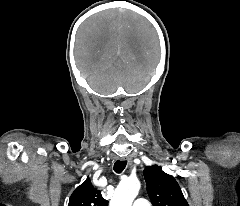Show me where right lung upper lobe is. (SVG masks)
<instances>
[{
    "instance_id": "obj_1",
    "label": "right lung upper lobe",
    "mask_w": 240,
    "mask_h": 206,
    "mask_svg": "<svg viewBox=\"0 0 240 206\" xmlns=\"http://www.w3.org/2000/svg\"><path fill=\"white\" fill-rule=\"evenodd\" d=\"M108 201L105 200L100 191L91 184L90 180H85L72 193L68 206H107Z\"/></svg>"
}]
</instances>
